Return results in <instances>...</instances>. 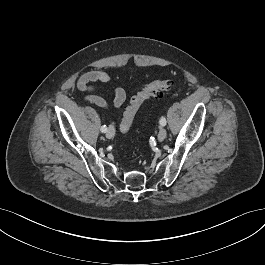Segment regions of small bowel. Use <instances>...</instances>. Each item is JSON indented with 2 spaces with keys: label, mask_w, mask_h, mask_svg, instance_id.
Masks as SVG:
<instances>
[{
  "label": "small bowel",
  "mask_w": 265,
  "mask_h": 265,
  "mask_svg": "<svg viewBox=\"0 0 265 265\" xmlns=\"http://www.w3.org/2000/svg\"><path fill=\"white\" fill-rule=\"evenodd\" d=\"M114 78L107 72L102 70H90L83 73L78 81H77V88L81 91H85L86 97L85 99L100 108L107 109L108 103L107 101L101 97L95 90L93 83L101 82V83H111L114 82ZM113 104L115 108H120L125 100H126V92L121 87H116L113 90Z\"/></svg>",
  "instance_id": "c3829d8e"
}]
</instances>
